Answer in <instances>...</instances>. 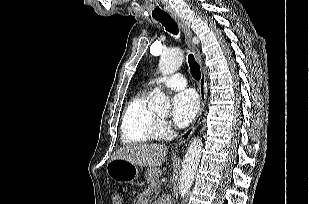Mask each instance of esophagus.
Segmentation results:
<instances>
[{"label": "esophagus", "mask_w": 309, "mask_h": 204, "mask_svg": "<svg viewBox=\"0 0 309 204\" xmlns=\"http://www.w3.org/2000/svg\"><path fill=\"white\" fill-rule=\"evenodd\" d=\"M170 16L175 20V22L178 24L182 32L185 36V41L188 45V47L191 49L193 54L196 57V60L200 65H202V58L200 55V51L198 49V43L199 39L198 37H194L192 34V31L190 27L187 25V23L176 13H171ZM199 95H200V109L198 111V114L193 122V124L179 137L177 141V146H181L185 144L188 139L192 136L194 131L196 130L200 118L202 116V113L204 111L205 105H206V99H207V92H206V75L204 72H202L200 81H199Z\"/></svg>", "instance_id": "34e87169"}]
</instances>
